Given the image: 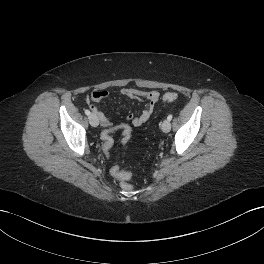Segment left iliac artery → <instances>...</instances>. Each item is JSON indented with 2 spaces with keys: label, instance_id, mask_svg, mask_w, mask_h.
Wrapping results in <instances>:
<instances>
[{
  "label": "left iliac artery",
  "instance_id": "left-iliac-artery-1",
  "mask_svg": "<svg viewBox=\"0 0 264 264\" xmlns=\"http://www.w3.org/2000/svg\"><path fill=\"white\" fill-rule=\"evenodd\" d=\"M172 118H173V116L170 114V115H168V117H167V119L169 120V121H171L172 120Z\"/></svg>",
  "mask_w": 264,
  "mask_h": 264
}]
</instances>
